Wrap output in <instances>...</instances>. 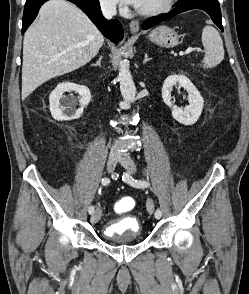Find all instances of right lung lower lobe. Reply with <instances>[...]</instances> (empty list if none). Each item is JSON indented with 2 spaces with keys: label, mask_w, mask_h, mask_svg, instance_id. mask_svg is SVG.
Returning <instances> with one entry per match:
<instances>
[{
  "label": "right lung lower lobe",
  "mask_w": 249,
  "mask_h": 294,
  "mask_svg": "<svg viewBox=\"0 0 249 294\" xmlns=\"http://www.w3.org/2000/svg\"><path fill=\"white\" fill-rule=\"evenodd\" d=\"M48 0H26L23 20L22 34L36 18L43 3ZM76 4L90 20L97 26L100 32L114 43L119 42L124 35L123 27L118 20H106L101 12L98 0H68Z\"/></svg>",
  "instance_id": "obj_1"
}]
</instances>
